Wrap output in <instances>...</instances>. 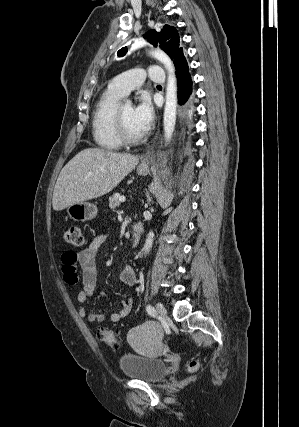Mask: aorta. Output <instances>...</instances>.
Listing matches in <instances>:
<instances>
[{"label":"aorta","instance_id":"aorta-1","mask_svg":"<svg viewBox=\"0 0 299 427\" xmlns=\"http://www.w3.org/2000/svg\"><path fill=\"white\" fill-rule=\"evenodd\" d=\"M155 59L161 62L168 72L167 87H166V101L163 115V129L166 142H169L172 138L175 130L176 123V108H177V79L175 76L174 64L170 57L161 49L157 48L150 51ZM126 105L131 106V102L127 101ZM154 240V232L150 231L147 235L143 251L144 254H148L152 248Z\"/></svg>","mask_w":299,"mask_h":427}]
</instances>
